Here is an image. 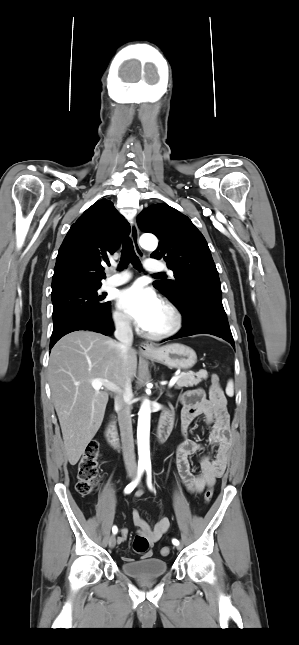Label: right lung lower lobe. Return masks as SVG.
Wrapping results in <instances>:
<instances>
[{
	"label": "right lung lower lobe",
	"mask_w": 299,
	"mask_h": 645,
	"mask_svg": "<svg viewBox=\"0 0 299 645\" xmlns=\"http://www.w3.org/2000/svg\"><path fill=\"white\" fill-rule=\"evenodd\" d=\"M113 329L110 310L104 314L88 313L76 316L59 327L54 328L50 341V348L64 335L78 330H89L108 335Z\"/></svg>",
	"instance_id": "right-lung-lower-lobe-1"
}]
</instances>
